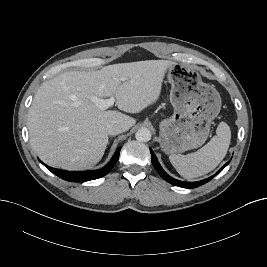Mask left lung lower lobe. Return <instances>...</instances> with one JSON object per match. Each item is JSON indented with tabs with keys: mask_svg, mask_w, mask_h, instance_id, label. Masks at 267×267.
Listing matches in <instances>:
<instances>
[{
	"mask_svg": "<svg viewBox=\"0 0 267 267\" xmlns=\"http://www.w3.org/2000/svg\"><path fill=\"white\" fill-rule=\"evenodd\" d=\"M151 152V160H152V164L155 168V170L159 173V175L165 179L167 182L175 185V186H179V187H183V188H196L199 187L207 182H209L215 175H217L219 172H221L228 164L229 162H227L216 174H214L213 176L206 178L204 180L201 181H197V182H184V181H180L177 179L172 178L171 176H169L161 167V165L159 164L157 157L155 156V154L153 153L152 149H150Z\"/></svg>",
	"mask_w": 267,
	"mask_h": 267,
	"instance_id": "1",
	"label": "left lung lower lobe"
}]
</instances>
